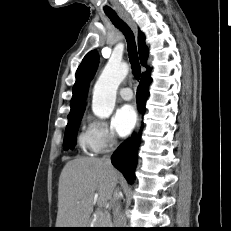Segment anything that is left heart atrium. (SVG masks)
<instances>
[{
    "label": "left heart atrium",
    "instance_id": "39dd6f15",
    "mask_svg": "<svg viewBox=\"0 0 231 231\" xmlns=\"http://www.w3.org/2000/svg\"><path fill=\"white\" fill-rule=\"evenodd\" d=\"M136 123V112L134 108L125 104L121 106L114 114L113 126L120 136H127Z\"/></svg>",
    "mask_w": 231,
    "mask_h": 231
}]
</instances>
